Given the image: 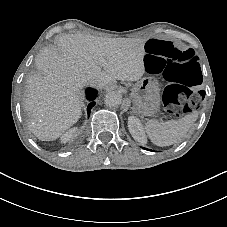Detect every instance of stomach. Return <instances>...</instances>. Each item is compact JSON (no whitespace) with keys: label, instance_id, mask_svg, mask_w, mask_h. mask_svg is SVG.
<instances>
[{"label":"stomach","instance_id":"obj_1","mask_svg":"<svg viewBox=\"0 0 227 227\" xmlns=\"http://www.w3.org/2000/svg\"><path fill=\"white\" fill-rule=\"evenodd\" d=\"M131 96L135 112L145 117H153L160 107L158 84L151 77L141 78L132 85Z\"/></svg>","mask_w":227,"mask_h":227}]
</instances>
